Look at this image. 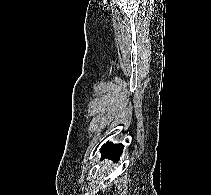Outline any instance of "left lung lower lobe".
I'll use <instances>...</instances> for the list:
<instances>
[{
    "mask_svg": "<svg viewBox=\"0 0 211 195\" xmlns=\"http://www.w3.org/2000/svg\"><path fill=\"white\" fill-rule=\"evenodd\" d=\"M123 147L124 146L122 144H112L109 142L107 144H104L101 147L102 159L109 158L116 161L119 160L123 151Z\"/></svg>",
    "mask_w": 211,
    "mask_h": 195,
    "instance_id": "left-lung-lower-lobe-1",
    "label": "left lung lower lobe"
}]
</instances>
